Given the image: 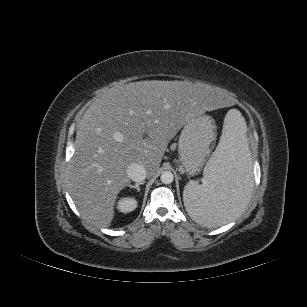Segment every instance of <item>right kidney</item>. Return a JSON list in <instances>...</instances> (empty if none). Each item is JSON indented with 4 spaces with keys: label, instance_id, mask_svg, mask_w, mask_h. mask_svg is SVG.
Segmentation results:
<instances>
[{
    "label": "right kidney",
    "instance_id": "ca27d5eb",
    "mask_svg": "<svg viewBox=\"0 0 307 307\" xmlns=\"http://www.w3.org/2000/svg\"><path fill=\"white\" fill-rule=\"evenodd\" d=\"M118 210L122 213H129L136 209L137 200L131 197L121 198L118 202Z\"/></svg>",
    "mask_w": 307,
    "mask_h": 307
}]
</instances>
